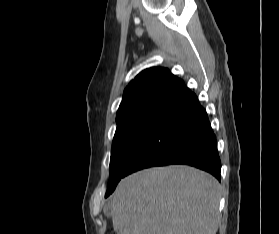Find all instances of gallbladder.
I'll use <instances>...</instances> for the list:
<instances>
[{"label":"gallbladder","instance_id":"obj_1","mask_svg":"<svg viewBox=\"0 0 279 234\" xmlns=\"http://www.w3.org/2000/svg\"><path fill=\"white\" fill-rule=\"evenodd\" d=\"M104 210L106 211L107 216H109V211H108V210H106V209H104Z\"/></svg>","mask_w":279,"mask_h":234}]
</instances>
